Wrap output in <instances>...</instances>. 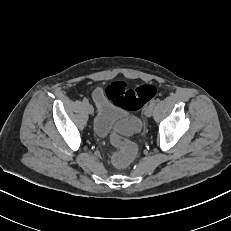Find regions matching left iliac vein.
<instances>
[{"instance_id":"4c4485c4","label":"left iliac vein","mask_w":231,"mask_h":231,"mask_svg":"<svg viewBox=\"0 0 231 231\" xmlns=\"http://www.w3.org/2000/svg\"><path fill=\"white\" fill-rule=\"evenodd\" d=\"M153 109H154V105H152V104L150 103V104L145 108V115H146V117L152 116Z\"/></svg>"}]
</instances>
